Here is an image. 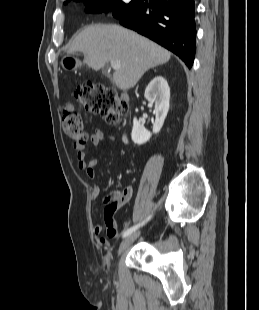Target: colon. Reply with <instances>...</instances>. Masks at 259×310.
Returning <instances> with one entry per match:
<instances>
[{"label": "colon", "instance_id": "5ec220e1", "mask_svg": "<svg viewBox=\"0 0 259 310\" xmlns=\"http://www.w3.org/2000/svg\"><path fill=\"white\" fill-rule=\"evenodd\" d=\"M74 100L87 112L101 116L109 125L117 126L126 110V102L118 92L98 83L78 86L73 93ZM65 134L77 144L86 140V131L81 116L73 103L65 105L62 114ZM124 198V192L114 191L106 198V208L114 210Z\"/></svg>", "mask_w": 259, "mask_h": 310}]
</instances>
